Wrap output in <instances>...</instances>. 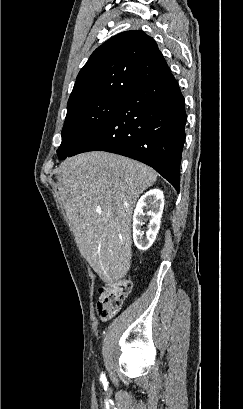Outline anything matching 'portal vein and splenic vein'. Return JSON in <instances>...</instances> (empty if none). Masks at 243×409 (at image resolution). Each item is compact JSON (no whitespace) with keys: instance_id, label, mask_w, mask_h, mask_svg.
<instances>
[{"instance_id":"portal-vein-and-splenic-vein-1","label":"portal vein and splenic vein","mask_w":243,"mask_h":409,"mask_svg":"<svg viewBox=\"0 0 243 409\" xmlns=\"http://www.w3.org/2000/svg\"><path fill=\"white\" fill-rule=\"evenodd\" d=\"M97 211H98V212H101V209H98Z\"/></svg>"}]
</instances>
